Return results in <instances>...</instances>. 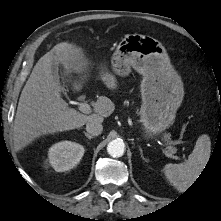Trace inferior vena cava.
Wrapping results in <instances>:
<instances>
[{"label": "inferior vena cava", "instance_id": "inferior-vena-cava-1", "mask_svg": "<svg viewBox=\"0 0 221 221\" xmlns=\"http://www.w3.org/2000/svg\"><path fill=\"white\" fill-rule=\"evenodd\" d=\"M101 123L102 122L99 120L88 122L86 124V131L93 136H98L99 134H101L103 130V126Z\"/></svg>", "mask_w": 221, "mask_h": 221}]
</instances>
